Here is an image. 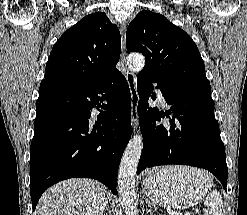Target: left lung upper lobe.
<instances>
[{
  "label": "left lung upper lobe",
  "instance_id": "left-lung-upper-lobe-1",
  "mask_svg": "<svg viewBox=\"0 0 247 215\" xmlns=\"http://www.w3.org/2000/svg\"><path fill=\"white\" fill-rule=\"evenodd\" d=\"M126 44L128 52L145 56L143 72L173 86L211 96L196 44L163 15L148 10L138 13L127 28Z\"/></svg>",
  "mask_w": 247,
  "mask_h": 215
}]
</instances>
